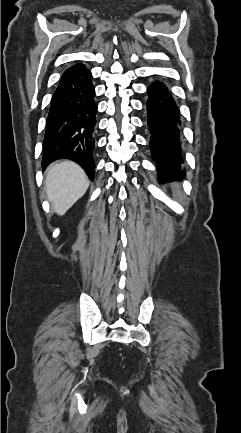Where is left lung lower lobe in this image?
<instances>
[{"label":"left lung lower lobe","instance_id":"1","mask_svg":"<svg viewBox=\"0 0 241 433\" xmlns=\"http://www.w3.org/2000/svg\"><path fill=\"white\" fill-rule=\"evenodd\" d=\"M147 128L152 158L158 163L159 180L182 179V122L179 107L168 87L154 81L147 89Z\"/></svg>","mask_w":241,"mask_h":433}]
</instances>
